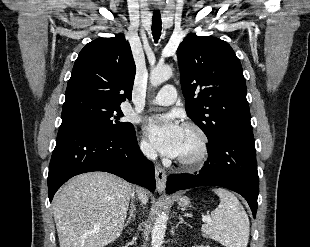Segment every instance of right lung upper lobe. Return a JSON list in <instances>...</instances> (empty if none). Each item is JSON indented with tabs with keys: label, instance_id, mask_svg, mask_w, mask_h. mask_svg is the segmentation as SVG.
I'll list each match as a JSON object with an SVG mask.
<instances>
[{
	"label": "right lung upper lobe",
	"instance_id": "obj_1",
	"mask_svg": "<svg viewBox=\"0 0 310 247\" xmlns=\"http://www.w3.org/2000/svg\"><path fill=\"white\" fill-rule=\"evenodd\" d=\"M135 63L122 34L88 43L75 61L63 109L76 106L120 108L131 99Z\"/></svg>",
	"mask_w": 310,
	"mask_h": 247
}]
</instances>
